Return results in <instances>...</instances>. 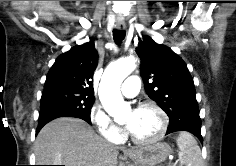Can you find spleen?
Wrapping results in <instances>:
<instances>
[{
    "label": "spleen",
    "instance_id": "obj_1",
    "mask_svg": "<svg viewBox=\"0 0 236 166\" xmlns=\"http://www.w3.org/2000/svg\"><path fill=\"white\" fill-rule=\"evenodd\" d=\"M180 150L179 161L184 166H204L200 147L194 137L188 132H180L176 138Z\"/></svg>",
    "mask_w": 236,
    "mask_h": 166
}]
</instances>
